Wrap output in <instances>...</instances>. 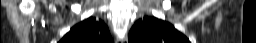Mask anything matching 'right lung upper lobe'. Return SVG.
<instances>
[{"label":"right lung upper lobe","mask_w":256,"mask_h":43,"mask_svg":"<svg viewBox=\"0 0 256 43\" xmlns=\"http://www.w3.org/2000/svg\"><path fill=\"white\" fill-rule=\"evenodd\" d=\"M59 43H113V40L108 27L90 17L74 26Z\"/></svg>","instance_id":"right-lung-upper-lobe-1"}]
</instances>
